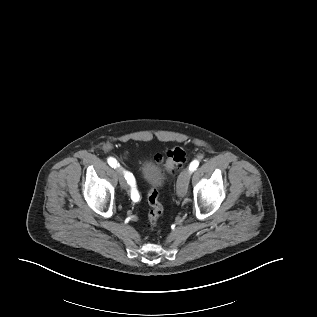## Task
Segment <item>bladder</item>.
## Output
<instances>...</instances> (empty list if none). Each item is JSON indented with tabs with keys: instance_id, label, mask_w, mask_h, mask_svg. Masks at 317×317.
<instances>
[{
	"instance_id": "1",
	"label": "bladder",
	"mask_w": 317,
	"mask_h": 317,
	"mask_svg": "<svg viewBox=\"0 0 317 317\" xmlns=\"http://www.w3.org/2000/svg\"><path fill=\"white\" fill-rule=\"evenodd\" d=\"M140 171L145 182L152 188L156 189L162 186L165 175L162 169L152 162H142Z\"/></svg>"
}]
</instances>
